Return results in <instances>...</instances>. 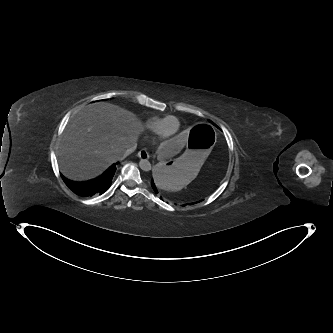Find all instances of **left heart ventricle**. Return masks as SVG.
<instances>
[{
    "label": "left heart ventricle",
    "instance_id": "obj_1",
    "mask_svg": "<svg viewBox=\"0 0 333 333\" xmlns=\"http://www.w3.org/2000/svg\"><path fill=\"white\" fill-rule=\"evenodd\" d=\"M176 128H177L176 121L174 119L169 120L165 126V134L167 136L173 135V133L176 131Z\"/></svg>",
    "mask_w": 333,
    "mask_h": 333
}]
</instances>
